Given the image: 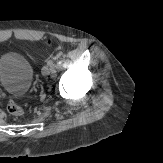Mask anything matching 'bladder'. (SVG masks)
Here are the masks:
<instances>
[{"instance_id": "obj_1", "label": "bladder", "mask_w": 163, "mask_h": 163, "mask_svg": "<svg viewBox=\"0 0 163 163\" xmlns=\"http://www.w3.org/2000/svg\"><path fill=\"white\" fill-rule=\"evenodd\" d=\"M33 74V67L24 56L16 52H7L0 56V86L8 94H27Z\"/></svg>"}]
</instances>
